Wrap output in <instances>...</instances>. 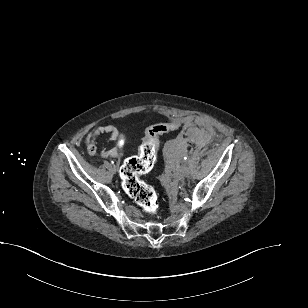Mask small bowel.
I'll return each instance as SVG.
<instances>
[{
  "instance_id": "1",
  "label": "small bowel",
  "mask_w": 308,
  "mask_h": 308,
  "mask_svg": "<svg viewBox=\"0 0 308 308\" xmlns=\"http://www.w3.org/2000/svg\"><path fill=\"white\" fill-rule=\"evenodd\" d=\"M182 125L184 126H192L195 123V120L193 118H185L181 121ZM101 135H107L109 139L113 140L118 135V130L116 127L112 125H105L100 126L92 130L85 139V146L86 150L89 156H94L97 152V145L96 141L99 136ZM102 155L107 157H115L119 154V150L117 148L113 149H103Z\"/></svg>"
}]
</instances>
